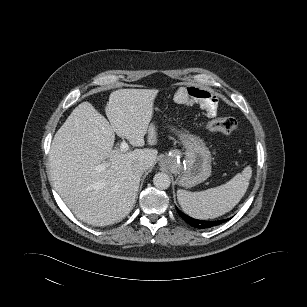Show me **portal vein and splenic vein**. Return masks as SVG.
Listing matches in <instances>:
<instances>
[{"instance_id":"18ae733b","label":"portal vein and splenic vein","mask_w":307,"mask_h":307,"mask_svg":"<svg viewBox=\"0 0 307 307\" xmlns=\"http://www.w3.org/2000/svg\"><path fill=\"white\" fill-rule=\"evenodd\" d=\"M128 149H129L128 143H127L126 141L123 140V141L121 142V144H120V150H121L122 152H126ZM106 167H107V163L104 162V163L98 165L96 169L99 170V171H101V170H104Z\"/></svg>"}]
</instances>
